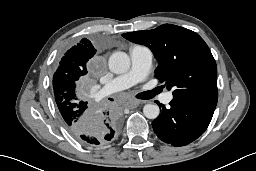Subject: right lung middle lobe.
<instances>
[{"label": "right lung middle lobe", "instance_id": "obj_1", "mask_svg": "<svg viewBox=\"0 0 256 171\" xmlns=\"http://www.w3.org/2000/svg\"><path fill=\"white\" fill-rule=\"evenodd\" d=\"M83 76L82 71L75 66L72 60L62 57L53 76L54 95L57 96V91L64 98H70L85 105L91 104L87 101L86 91L81 83Z\"/></svg>", "mask_w": 256, "mask_h": 171}]
</instances>
